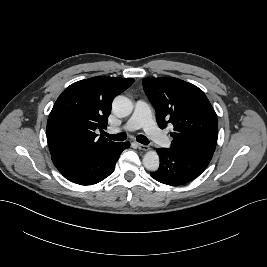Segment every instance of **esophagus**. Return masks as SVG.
I'll use <instances>...</instances> for the list:
<instances>
[{
    "mask_svg": "<svg viewBox=\"0 0 267 267\" xmlns=\"http://www.w3.org/2000/svg\"><path fill=\"white\" fill-rule=\"evenodd\" d=\"M137 147H138V149H140L142 151H148L149 150V146L143 145V144H140V143H137Z\"/></svg>",
    "mask_w": 267,
    "mask_h": 267,
    "instance_id": "esophagus-1",
    "label": "esophagus"
}]
</instances>
